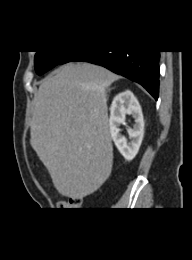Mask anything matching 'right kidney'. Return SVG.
I'll return each mask as SVG.
<instances>
[{
    "label": "right kidney",
    "instance_id": "1",
    "mask_svg": "<svg viewBox=\"0 0 192 260\" xmlns=\"http://www.w3.org/2000/svg\"><path fill=\"white\" fill-rule=\"evenodd\" d=\"M132 115L135 119L133 128H129L128 134L131 141L120 133L119 128L125 122V115ZM109 127L111 138L122 156L130 161L139 151L144 135V119L138 100L131 91L118 94L112 102L110 108Z\"/></svg>",
    "mask_w": 192,
    "mask_h": 260
}]
</instances>
